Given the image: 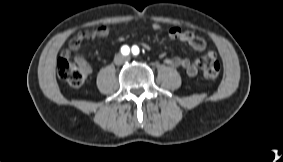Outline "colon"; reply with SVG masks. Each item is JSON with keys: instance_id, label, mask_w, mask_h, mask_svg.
<instances>
[{"instance_id": "colon-1", "label": "colon", "mask_w": 283, "mask_h": 162, "mask_svg": "<svg viewBox=\"0 0 283 162\" xmlns=\"http://www.w3.org/2000/svg\"><path fill=\"white\" fill-rule=\"evenodd\" d=\"M221 63L214 54H207L202 62V75L208 80H216L220 76ZM57 73L60 79L73 87L81 86L90 74L87 63H72L66 57L59 58Z\"/></svg>"}]
</instances>
